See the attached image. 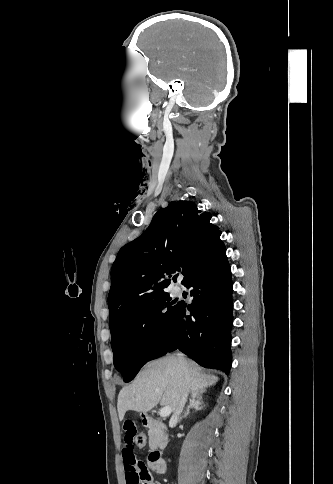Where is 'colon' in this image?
I'll list each match as a JSON object with an SVG mask.
<instances>
[{"label": "colon", "instance_id": "1", "mask_svg": "<svg viewBox=\"0 0 333 484\" xmlns=\"http://www.w3.org/2000/svg\"><path fill=\"white\" fill-rule=\"evenodd\" d=\"M146 438L143 433H138L135 437L134 443L138 447H143L145 445Z\"/></svg>", "mask_w": 333, "mask_h": 484}]
</instances>
